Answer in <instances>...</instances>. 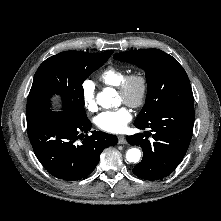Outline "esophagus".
Instances as JSON below:
<instances>
[{
    "label": "esophagus",
    "instance_id": "esophagus-1",
    "mask_svg": "<svg viewBox=\"0 0 221 221\" xmlns=\"http://www.w3.org/2000/svg\"><path fill=\"white\" fill-rule=\"evenodd\" d=\"M118 143L119 144H126L127 141H126L125 136H123V135L118 136Z\"/></svg>",
    "mask_w": 221,
    "mask_h": 221
}]
</instances>
